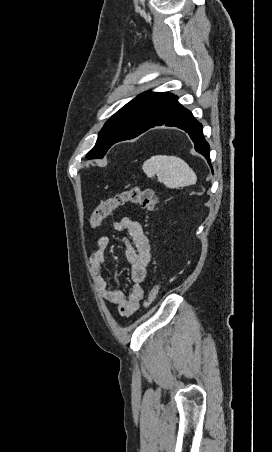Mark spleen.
<instances>
[{
    "label": "spleen",
    "mask_w": 272,
    "mask_h": 452,
    "mask_svg": "<svg viewBox=\"0 0 272 452\" xmlns=\"http://www.w3.org/2000/svg\"><path fill=\"white\" fill-rule=\"evenodd\" d=\"M142 168L150 178L157 174L158 181L169 188L189 186L197 181L195 172L184 160L176 156H152Z\"/></svg>",
    "instance_id": "spleen-1"
}]
</instances>
